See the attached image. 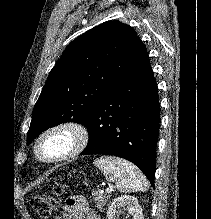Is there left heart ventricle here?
<instances>
[{
    "instance_id": "left-heart-ventricle-1",
    "label": "left heart ventricle",
    "mask_w": 211,
    "mask_h": 219,
    "mask_svg": "<svg viewBox=\"0 0 211 219\" xmlns=\"http://www.w3.org/2000/svg\"><path fill=\"white\" fill-rule=\"evenodd\" d=\"M68 145L66 136H52L48 138L41 147V153L45 157H53L62 153Z\"/></svg>"
}]
</instances>
